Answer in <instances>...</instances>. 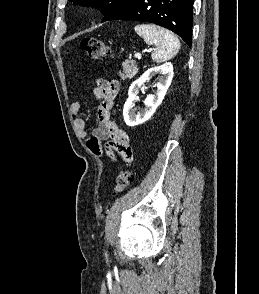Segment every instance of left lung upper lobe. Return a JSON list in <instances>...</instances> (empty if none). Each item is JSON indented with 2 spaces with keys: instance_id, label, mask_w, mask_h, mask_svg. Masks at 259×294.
I'll return each instance as SVG.
<instances>
[{
  "instance_id": "5c2ea615",
  "label": "left lung upper lobe",
  "mask_w": 259,
  "mask_h": 294,
  "mask_svg": "<svg viewBox=\"0 0 259 294\" xmlns=\"http://www.w3.org/2000/svg\"><path fill=\"white\" fill-rule=\"evenodd\" d=\"M75 5H81L84 7H93L97 9H101L104 18L102 20L105 21L108 17L114 14L117 10L124 7L132 0H69Z\"/></svg>"
}]
</instances>
